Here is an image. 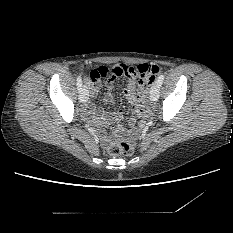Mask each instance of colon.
Here are the masks:
<instances>
[{
    "mask_svg": "<svg viewBox=\"0 0 233 233\" xmlns=\"http://www.w3.org/2000/svg\"><path fill=\"white\" fill-rule=\"evenodd\" d=\"M125 76L137 77L142 83H151L161 73V68L152 64L128 65L121 64ZM111 70L106 66H98L90 72L89 78L93 82L107 80L111 77ZM141 105L147 104V95H139ZM132 147L126 142H116L108 148V154L111 156H127L132 153Z\"/></svg>",
    "mask_w": 233,
    "mask_h": 233,
    "instance_id": "1",
    "label": "colon"
}]
</instances>
